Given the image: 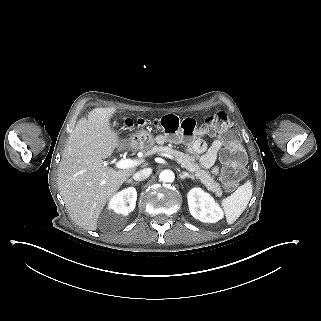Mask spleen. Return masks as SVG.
<instances>
[{"mask_svg":"<svg viewBox=\"0 0 321 321\" xmlns=\"http://www.w3.org/2000/svg\"><path fill=\"white\" fill-rule=\"evenodd\" d=\"M252 191L253 182L247 179L230 196L221 199L220 206L228 225L233 224L243 213L251 199Z\"/></svg>","mask_w":321,"mask_h":321,"instance_id":"3e777b00","label":"spleen"}]
</instances>
